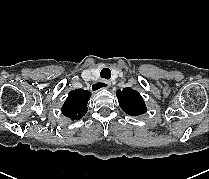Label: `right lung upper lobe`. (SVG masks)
Listing matches in <instances>:
<instances>
[{
	"instance_id": "cb5924a9",
	"label": "right lung upper lobe",
	"mask_w": 209,
	"mask_h": 179,
	"mask_svg": "<svg viewBox=\"0 0 209 179\" xmlns=\"http://www.w3.org/2000/svg\"><path fill=\"white\" fill-rule=\"evenodd\" d=\"M90 95L89 91L83 89L72 90L62 106V113L71 120L81 119L87 112Z\"/></svg>"
}]
</instances>
